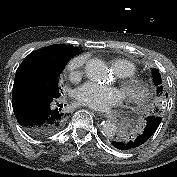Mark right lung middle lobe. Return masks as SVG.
Instances as JSON below:
<instances>
[{
    "mask_svg": "<svg viewBox=\"0 0 177 177\" xmlns=\"http://www.w3.org/2000/svg\"><path fill=\"white\" fill-rule=\"evenodd\" d=\"M65 65L66 62L56 69L44 72L27 71L14 81V87L58 97L62 93L59 79Z\"/></svg>",
    "mask_w": 177,
    "mask_h": 177,
    "instance_id": "1",
    "label": "right lung middle lobe"
}]
</instances>
